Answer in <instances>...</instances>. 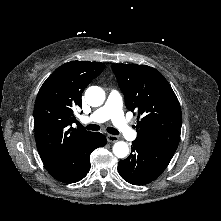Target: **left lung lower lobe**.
Masks as SVG:
<instances>
[{
    "mask_svg": "<svg viewBox=\"0 0 221 221\" xmlns=\"http://www.w3.org/2000/svg\"><path fill=\"white\" fill-rule=\"evenodd\" d=\"M174 153L136 138L129 157L119 161L118 172L130 184H148L166 169Z\"/></svg>",
    "mask_w": 221,
    "mask_h": 221,
    "instance_id": "0a47b994",
    "label": "left lung lower lobe"
}]
</instances>
